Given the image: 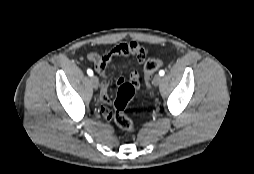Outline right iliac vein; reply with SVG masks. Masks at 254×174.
<instances>
[{"label": "right iliac vein", "instance_id": "63e3f726", "mask_svg": "<svg viewBox=\"0 0 254 174\" xmlns=\"http://www.w3.org/2000/svg\"><path fill=\"white\" fill-rule=\"evenodd\" d=\"M91 83H92L94 89L97 90L98 87H99V79H98V77L97 76H92L91 77Z\"/></svg>", "mask_w": 254, "mask_h": 174}]
</instances>
